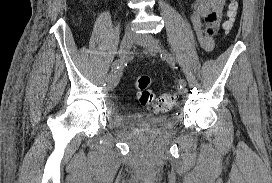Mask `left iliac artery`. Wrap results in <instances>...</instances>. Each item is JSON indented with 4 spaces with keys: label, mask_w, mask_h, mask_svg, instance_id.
<instances>
[{
    "label": "left iliac artery",
    "mask_w": 272,
    "mask_h": 183,
    "mask_svg": "<svg viewBox=\"0 0 272 183\" xmlns=\"http://www.w3.org/2000/svg\"><path fill=\"white\" fill-rule=\"evenodd\" d=\"M161 58L165 59L170 65L175 66L176 61L174 56L171 53H169L166 49L162 50ZM178 84L180 89L185 88L186 87L185 79H179Z\"/></svg>",
    "instance_id": "left-iliac-artery-1"
}]
</instances>
